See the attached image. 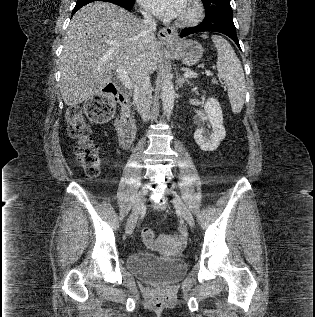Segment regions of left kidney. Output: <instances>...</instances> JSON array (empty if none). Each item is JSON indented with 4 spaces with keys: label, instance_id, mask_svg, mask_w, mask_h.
Returning a JSON list of instances; mask_svg holds the SVG:
<instances>
[{
    "label": "left kidney",
    "instance_id": "left-kidney-1",
    "mask_svg": "<svg viewBox=\"0 0 315 317\" xmlns=\"http://www.w3.org/2000/svg\"><path fill=\"white\" fill-rule=\"evenodd\" d=\"M204 111L212 126V133L205 135L202 128L196 129L194 139L203 151H213L217 149L225 138L226 131L223 124V114L217 99L209 98L204 104Z\"/></svg>",
    "mask_w": 315,
    "mask_h": 317
}]
</instances>
